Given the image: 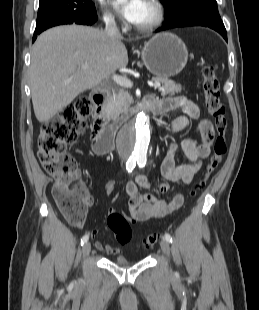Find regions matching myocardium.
I'll return each mask as SVG.
<instances>
[{
  "mask_svg": "<svg viewBox=\"0 0 259 310\" xmlns=\"http://www.w3.org/2000/svg\"><path fill=\"white\" fill-rule=\"evenodd\" d=\"M155 9V18L146 25H133V27L140 32H150L159 28L165 19V7L161 0H146Z\"/></svg>",
  "mask_w": 259,
  "mask_h": 310,
  "instance_id": "f54148a6",
  "label": "myocardium"
}]
</instances>
